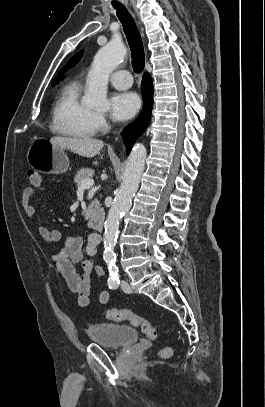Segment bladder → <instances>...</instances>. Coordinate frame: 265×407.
<instances>
[{
	"mask_svg": "<svg viewBox=\"0 0 265 407\" xmlns=\"http://www.w3.org/2000/svg\"><path fill=\"white\" fill-rule=\"evenodd\" d=\"M90 340L110 348H121L135 343L138 339L136 330L128 325L97 323L86 328Z\"/></svg>",
	"mask_w": 265,
	"mask_h": 407,
	"instance_id": "bladder-1",
	"label": "bladder"
}]
</instances>
